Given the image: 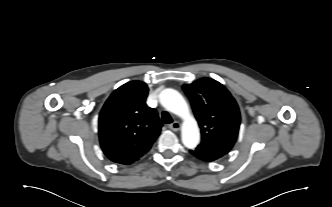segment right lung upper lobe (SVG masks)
<instances>
[{"label": "right lung upper lobe", "mask_w": 332, "mask_h": 207, "mask_svg": "<svg viewBox=\"0 0 332 207\" xmlns=\"http://www.w3.org/2000/svg\"><path fill=\"white\" fill-rule=\"evenodd\" d=\"M148 87L131 81L116 89L99 115V138L105 155L113 162L138 161L159 136L162 124L155 109L145 103Z\"/></svg>", "instance_id": "1"}]
</instances>
